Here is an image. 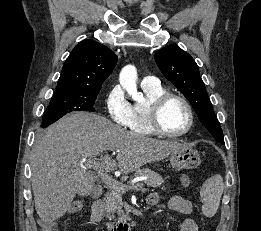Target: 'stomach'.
Returning <instances> with one entry per match:
<instances>
[{
  "instance_id": "obj_1",
  "label": "stomach",
  "mask_w": 261,
  "mask_h": 231,
  "mask_svg": "<svg viewBox=\"0 0 261 231\" xmlns=\"http://www.w3.org/2000/svg\"><path fill=\"white\" fill-rule=\"evenodd\" d=\"M170 162L174 169H193L196 168L200 162V155L196 150L190 146L184 145L171 152Z\"/></svg>"
}]
</instances>
